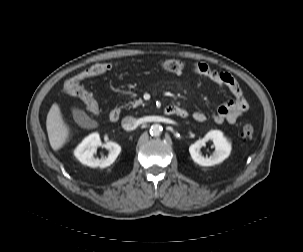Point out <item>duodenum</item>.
<instances>
[{
	"label": "duodenum",
	"instance_id": "obj_1",
	"mask_svg": "<svg viewBox=\"0 0 303 252\" xmlns=\"http://www.w3.org/2000/svg\"><path fill=\"white\" fill-rule=\"evenodd\" d=\"M165 113L167 114H176V115H182V111L176 107V106H167L165 108ZM121 115V109L119 107H113L109 112V120L111 122H116Z\"/></svg>",
	"mask_w": 303,
	"mask_h": 252
}]
</instances>
